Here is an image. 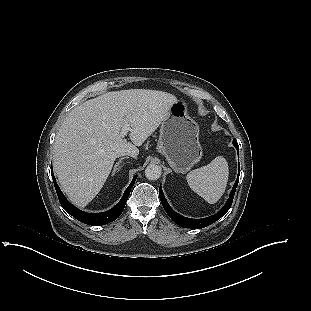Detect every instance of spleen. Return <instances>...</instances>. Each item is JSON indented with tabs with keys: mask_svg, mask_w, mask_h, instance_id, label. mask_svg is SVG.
I'll return each instance as SVG.
<instances>
[{
	"mask_svg": "<svg viewBox=\"0 0 311 311\" xmlns=\"http://www.w3.org/2000/svg\"><path fill=\"white\" fill-rule=\"evenodd\" d=\"M228 176V163L224 157L218 156L206 166L190 171L186 180L195 193L214 204L224 194Z\"/></svg>",
	"mask_w": 311,
	"mask_h": 311,
	"instance_id": "3e777b00",
	"label": "spleen"
}]
</instances>
